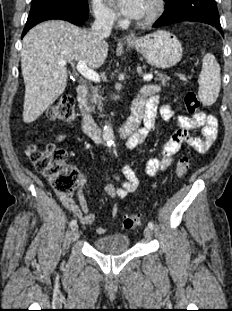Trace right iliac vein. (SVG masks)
<instances>
[{
  "label": "right iliac vein",
  "mask_w": 232,
  "mask_h": 311,
  "mask_svg": "<svg viewBox=\"0 0 232 311\" xmlns=\"http://www.w3.org/2000/svg\"><path fill=\"white\" fill-rule=\"evenodd\" d=\"M71 237L73 241H76L79 237L78 227L74 226L71 230Z\"/></svg>",
  "instance_id": "63e3f726"
}]
</instances>
